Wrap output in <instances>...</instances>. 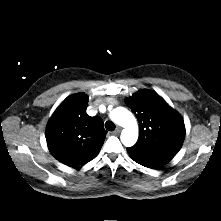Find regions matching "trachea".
<instances>
[{"mask_svg": "<svg viewBox=\"0 0 221 221\" xmlns=\"http://www.w3.org/2000/svg\"><path fill=\"white\" fill-rule=\"evenodd\" d=\"M105 128L108 130V131H113L115 129V124L111 121H107L105 123Z\"/></svg>", "mask_w": 221, "mask_h": 221, "instance_id": "1", "label": "trachea"}]
</instances>
